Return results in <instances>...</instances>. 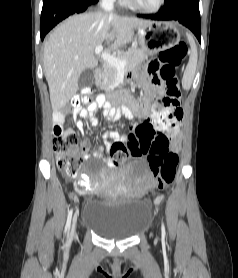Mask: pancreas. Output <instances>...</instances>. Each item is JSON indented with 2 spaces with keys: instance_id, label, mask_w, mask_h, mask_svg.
Instances as JSON below:
<instances>
[{
  "instance_id": "1",
  "label": "pancreas",
  "mask_w": 238,
  "mask_h": 278,
  "mask_svg": "<svg viewBox=\"0 0 238 278\" xmlns=\"http://www.w3.org/2000/svg\"><path fill=\"white\" fill-rule=\"evenodd\" d=\"M120 60L126 61L124 72L131 71L134 67L140 64L147 58L146 51L137 49L135 47L129 48L126 52H121L116 55ZM118 70L108 63L103 65V75L101 79L96 82V85L104 91L111 90L116 83Z\"/></svg>"
}]
</instances>
